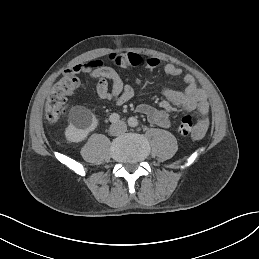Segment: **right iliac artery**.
<instances>
[{
  "instance_id": "82829eb1",
  "label": "right iliac artery",
  "mask_w": 259,
  "mask_h": 259,
  "mask_svg": "<svg viewBox=\"0 0 259 259\" xmlns=\"http://www.w3.org/2000/svg\"><path fill=\"white\" fill-rule=\"evenodd\" d=\"M120 119V116L117 113H113L110 115L109 120L112 123H117Z\"/></svg>"
}]
</instances>
